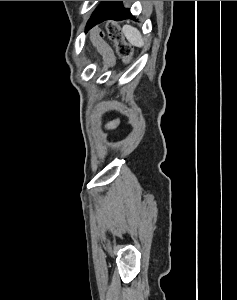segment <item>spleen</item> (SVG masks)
<instances>
[{
  "label": "spleen",
  "mask_w": 237,
  "mask_h": 300,
  "mask_svg": "<svg viewBox=\"0 0 237 300\" xmlns=\"http://www.w3.org/2000/svg\"><path fill=\"white\" fill-rule=\"evenodd\" d=\"M123 33L127 41L131 43V45H134V47H143L144 41L138 29H135V27H131V25H124Z\"/></svg>",
  "instance_id": "3e777b00"
}]
</instances>
